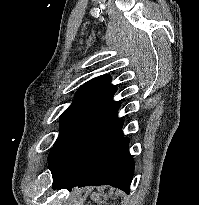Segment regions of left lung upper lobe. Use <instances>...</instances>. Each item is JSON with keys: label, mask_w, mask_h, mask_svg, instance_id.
<instances>
[{"label": "left lung upper lobe", "mask_w": 199, "mask_h": 205, "mask_svg": "<svg viewBox=\"0 0 199 205\" xmlns=\"http://www.w3.org/2000/svg\"><path fill=\"white\" fill-rule=\"evenodd\" d=\"M110 80L109 75H102L86 82L62 113L60 133L48 156L53 180L66 175L89 135L120 106L113 100L117 88Z\"/></svg>", "instance_id": "5c2ea615"}]
</instances>
